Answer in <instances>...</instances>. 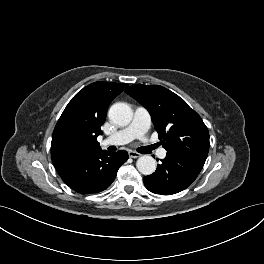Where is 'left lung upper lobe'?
I'll use <instances>...</instances> for the list:
<instances>
[{"mask_svg":"<svg viewBox=\"0 0 264 264\" xmlns=\"http://www.w3.org/2000/svg\"><path fill=\"white\" fill-rule=\"evenodd\" d=\"M125 92L149 111L167 152L183 153L205 163L208 129L182 98L159 85L135 84Z\"/></svg>","mask_w":264,"mask_h":264,"instance_id":"obj_1","label":"left lung upper lobe"}]
</instances>
